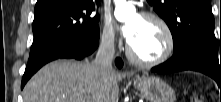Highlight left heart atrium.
I'll return each instance as SVG.
<instances>
[{"instance_id":"1","label":"left heart atrium","mask_w":221,"mask_h":102,"mask_svg":"<svg viewBox=\"0 0 221 102\" xmlns=\"http://www.w3.org/2000/svg\"><path fill=\"white\" fill-rule=\"evenodd\" d=\"M122 33L126 40L130 43L136 34V26L135 24H128L122 27Z\"/></svg>"}]
</instances>
